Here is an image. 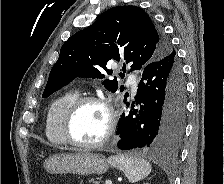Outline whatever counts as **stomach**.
Here are the masks:
<instances>
[{"instance_id":"0dacf381","label":"stomach","mask_w":224,"mask_h":184,"mask_svg":"<svg viewBox=\"0 0 224 184\" xmlns=\"http://www.w3.org/2000/svg\"><path fill=\"white\" fill-rule=\"evenodd\" d=\"M44 168L54 174L100 175L107 172L109 162L103 155L84 151L51 156L44 162Z\"/></svg>"}]
</instances>
